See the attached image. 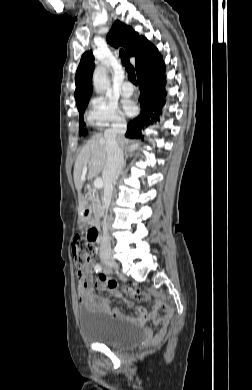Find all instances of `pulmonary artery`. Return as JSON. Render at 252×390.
Instances as JSON below:
<instances>
[{
    "label": "pulmonary artery",
    "mask_w": 252,
    "mask_h": 390,
    "mask_svg": "<svg viewBox=\"0 0 252 390\" xmlns=\"http://www.w3.org/2000/svg\"><path fill=\"white\" fill-rule=\"evenodd\" d=\"M133 85L130 82H124L121 87L124 96H131L133 94Z\"/></svg>",
    "instance_id": "obj_1"
}]
</instances>
